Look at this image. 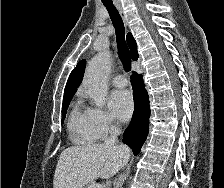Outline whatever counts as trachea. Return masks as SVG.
Wrapping results in <instances>:
<instances>
[{"label":"trachea","mask_w":224,"mask_h":188,"mask_svg":"<svg viewBox=\"0 0 224 188\" xmlns=\"http://www.w3.org/2000/svg\"><path fill=\"white\" fill-rule=\"evenodd\" d=\"M103 4L106 7L115 27L119 57L124 66V69L129 72L131 71V60L129 56V50L125 42V28L122 18L113 3L103 2Z\"/></svg>","instance_id":"3493384b"}]
</instances>
